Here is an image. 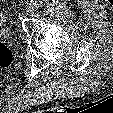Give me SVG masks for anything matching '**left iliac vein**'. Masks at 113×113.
<instances>
[{
	"label": "left iliac vein",
	"mask_w": 113,
	"mask_h": 113,
	"mask_svg": "<svg viewBox=\"0 0 113 113\" xmlns=\"http://www.w3.org/2000/svg\"><path fill=\"white\" fill-rule=\"evenodd\" d=\"M34 11H35V7L34 6H29L26 9V15L31 16V15L34 14Z\"/></svg>",
	"instance_id": "1"
}]
</instances>
